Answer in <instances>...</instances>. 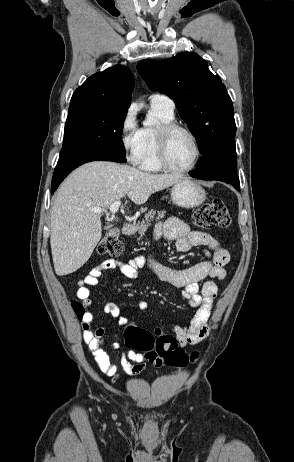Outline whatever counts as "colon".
<instances>
[{"label":"colon","instance_id":"obj_1","mask_svg":"<svg viewBox=\"0 0 294 462\" xmlns=\"http://www.w3.org/2000/svg\"><path fill=\"white\" fill-rule=\"evenodd\" d=\"M231 219L228 209L221 199H213L200 206L193 214V224L199 228L228 227ZM123 249L116 227L107 230L98 244L97 250L101 255L118 256ZM71 306L79 318L84 314V306L78 300H72ZM126 345L136 351L143 352L148 361L157 366L184 367L194 362L199 353L187 354L179 347L174 336L163 334L157 330L155 335L136 326H128L125 330Z\"/></svg>","mask_w":294,"mask_h":462}]
</instances>
